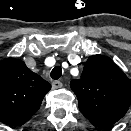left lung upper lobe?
Returning <instances> with one entry per match:
<instances>
[{"instance_id":"1","label":"left lung upper lobe","mask_w":131,"mask_h":131,"mask_svg":"<svg viewBox=\"0 0 131 131\" xmlns=\"http://www.w3.org/2000/svg\"><path fill=\"white\" fill-rule=\"evenodd\" d=\"M70 86L81 113L96 127L116 123L131 104V80L107 56L89 57L81 78L72 80Z\"/></svg>"}]
</instances>
